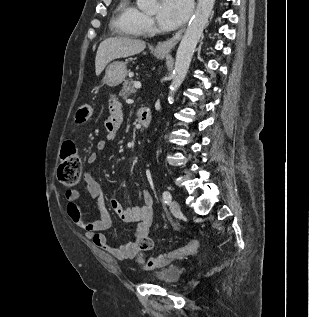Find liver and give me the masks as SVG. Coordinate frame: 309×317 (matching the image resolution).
<instances>
[{"label":"liver","mask_w":309,"mask_h":317,"mask_svg":"<svg viewBox=\"0 0 309 317\" xmlns=\"http://www.w3.org/2000/svg\"><path fill=\"white\" fill-rule=\"evenodd\" d=\"M144 41L127 37H110L102 41L95 58L96 75L99 76L106 65L114 59L125 58L142 52Z\"/></svg>","instance_id":"liver-1"}]
</instances>
